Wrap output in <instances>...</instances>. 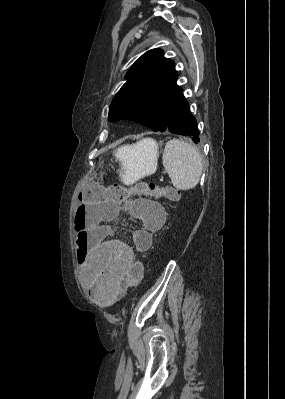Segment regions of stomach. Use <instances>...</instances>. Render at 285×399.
Returning a JSON list of instances; mask_svg holds the SVG:
<instances>
[{
    "mask_svg": "<svg viewBox=\"0 0 285 399\" xmlns=\"http://www.w3.org/2000/svg\"><path fill=\"white\" fill-rule=\"evenodd\" d=\"M116 156L121 161V179L126 184L153 174L157 169L158 145L152 139L120 147Z\"/></svg>",
    "mask_w": 285,
    "mask_h": 399,
    "instance_id": "obj_1",
    "label": "stomach"
}]
</instances>
